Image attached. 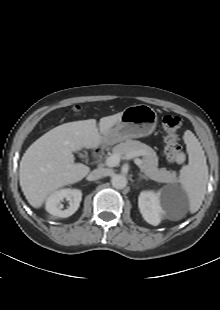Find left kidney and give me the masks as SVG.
<instances>
[{"label":"left kidney","mask_w":220,"mask_h":310,"mask_svg":"<svg viewBox=\"0 0 220 310\" xmlns=\"http://www.w3.org/2000/svg\"><path fill=\"white\" fill-rule=\"evenodd\" d=\"M138 206L145 221L155 226L160 223L161 216L166 213L168 207L161 194L153 191H142L138 198Z\"/></svg>","instance_id":"5707ae66"}]
</instances>
